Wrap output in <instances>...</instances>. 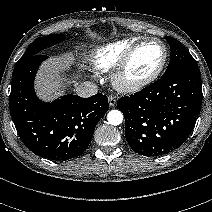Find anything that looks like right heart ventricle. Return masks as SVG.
Wrapping results in <instances>:
<instances>
[{
    "label": "right heart ventricle",
    "instance_id": "right-heart-ventricle-1",
    "mask_svg": "<svg viewBox=\"0 0 212 212\" xmlns=\"http://www.w3.org/2000/svg\"><path fill=\"white\" fill-rule=\"evenodd\" d=\"M138 40V38H128L96 49L91 56L94 68L101 73H107L114 70L126 52Z\"/></svg>",
    "mask_w": 212,
    "mask_h": 212
}]
</instances>
